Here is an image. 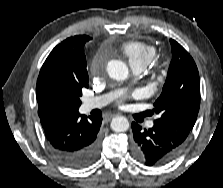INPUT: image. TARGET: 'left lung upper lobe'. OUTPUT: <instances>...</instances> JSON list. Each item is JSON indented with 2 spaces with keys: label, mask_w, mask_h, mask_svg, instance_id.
Segmentation results:
<instances>
[{
  "label": "left lung upper lobe",
  "mask_w": 223,
  "mask_h": 188,
  "mask_svg": "<svg viewBox=\"0 0 223 188\" xmlns=\"http://www.w3.org/2000/svg\"><path fill=\"white\" fill-rule=\"evenodd\" d=\"M172 61L160 97L154 103L160 125L183 146L193 128L200 106V79L190 54L175 40H170Z\"/></svg>",
  "instance_id": "left-lung-upper-lobe-1"
}]
</instances>
